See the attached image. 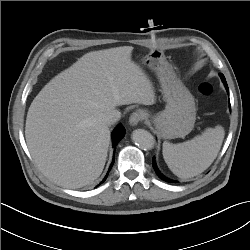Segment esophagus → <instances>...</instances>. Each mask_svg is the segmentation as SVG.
Returning a JSON list of instances; mask_svg holds the SVG:
<instances>
[{
    "instance_id": "1",
    "label": "esophagus",
    "mask_w": 250,
    "mask_h": 250,
    "mask_svg": "<svg viewBox=\"0 0 250 250\" xmlns=\"http://www.w3.org/2000/svg\"><path fill=\"white\" fill-rule=\"evenodd\" d=\"M144 113L140 110L133 112L129 117V124L130 126L134 127L137 126L140 121L143 120Z\"/></svg>"
}]
</instances>
